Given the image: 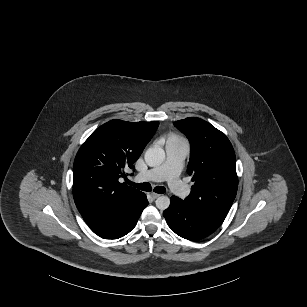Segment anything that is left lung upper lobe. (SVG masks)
<instances>
[{"instance_id": "obj_1", "label": "left lung upper lobe", "mask_w": 307, "mask_h": 307, "mask_svg": "<svg viewBox=\"0 0 307 307\" xmlns=\"http://www.w3.org/2000/svg\"><path fill=\"white\" fill-rule=\"evenodd\" d=\"M174 125L191 145L188 173L195 184L184 201L204 218L221 225L238 187L233 147L225 134L200 118H186Z\"/></svg>"}]
</instances>
